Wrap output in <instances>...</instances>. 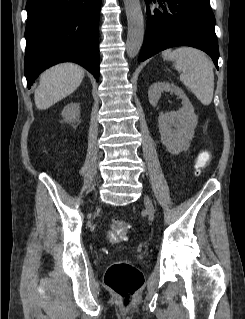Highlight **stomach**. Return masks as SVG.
<instances>
[{"instance_id": "0dacf381", "label": "stomach", "mask_w": 245, "mask_h": 319, "mask_svg": "<svg viewBox=\"0 0 245 319\" xmlns=\"http://www.w3.org/2000/svg\"><path fill=\"white\" fill-rule=\"evenodd\" d=\"M167 56V54H164V57H166Z\"/></svg>"}]
</instances>
